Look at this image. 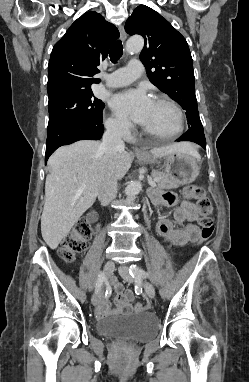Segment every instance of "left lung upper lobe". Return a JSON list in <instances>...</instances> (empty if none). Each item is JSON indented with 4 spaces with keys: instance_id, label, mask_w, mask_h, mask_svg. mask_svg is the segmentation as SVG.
I'll use <instances>...</instances> for the list:
<instances>
[{
    "instance_id": "1",
    "label": "left lung upper lobe",
    "mask_w": 249,
    "mask_h": 382,
    "mask_svg": "<svg viewBox=\"0 0 249 382\" xmlns=\"http://www.w3.org/2000/svg\"><path fill=\"white\" fill-rule=\"evenodd\" d=\"M128 34L145 40L140 60L147 76L186 111L189 129H203L195 95L193 61L185 38L159 13L140 5L127 19Z\"/></svg>"
}]
</instances>
